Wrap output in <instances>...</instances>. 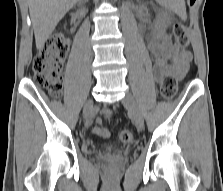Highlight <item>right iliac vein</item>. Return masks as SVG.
I'll return each mask as SVG.
<instances>
[{"label":"right iliac vein","instance_id":"right-iliac-vein-1","mask_svg":"<svg viewBox=\"0 0 223 191\" xmlns=\"http://www.w3.org/2000/svg\"><path fill=\"white\" fill-rule=\"evenodd\" d=\"M93 108V101L90 99L86 102L84 106V117L87 119L91 113V110Z\"/></svg>","mask_w":223,"mask_h":191}]
</instances>
